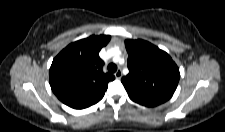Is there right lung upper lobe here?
<instances>
[{"instance_id": "1", "label": "right lung upper lobe", "mask_w": 225, "mask_h": 132, "mask_svg": "<svg viewBox=\"0 0 225 132\" xmlns=\"http://www.w3.org/2000/svg\"><path fill=\"white\" fill-rule=\"evenodd\" d=\"M110 38L92 35L69 44L54 58L49 71L50 86L64 104L83 109L103 98L108 82L115 79L102 71L104 62L99 57Z\"/></svg>"}]
</instances>
